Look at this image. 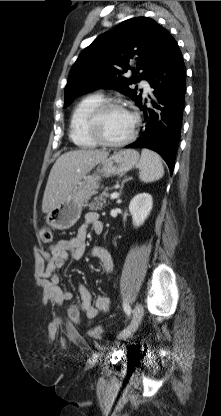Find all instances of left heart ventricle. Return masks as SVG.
Wrapping results in <instances>:
<instances>
[{
  "mask_svg": "<svg viewBox=\"0 0 221 416\" xmlns=\"http://www.w3.org/2000/svg\"><path fill=\"white\" fill-rule=\"evenodd\" d=\"M132 123L129 112L121 108H110L103 114L100 128L108 140L121 141L129 135Z\"/></svg>",
  "mask_w": 221,
  "mask_h": 416,
  "instance_id": "1",
  "label": "left heart ventricle"
}]
</instances>
